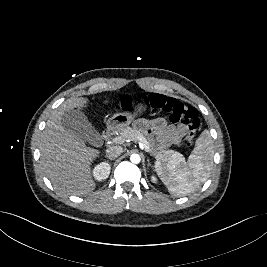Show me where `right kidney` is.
Here are the masks:
<instances>
[{
    "label": "right kidney",
    "mask_w": 267,
    "mask_h": 267,
    "mask_svg": "<svg viewBox=\"0 0 267 267\" xmlns=\"http://www.w3.org/2000/svg\"><path fill=\"white\" fill-rule=\"evenodd\" d=\"M110 170L111 166L106 162H102L95 166L93 170V176L98 181L105 180L108 178Z\"/></svg>",
    "instance_id": "right-kidney-1"
}]
</instances>
